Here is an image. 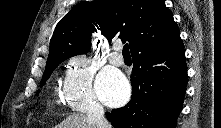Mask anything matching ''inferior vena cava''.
<instances>
[{"label":"inferior vena cava","mask_w":221,"mask_h":128,"mask_svg":"<svg viewBox=\"0 0 221 128\" xmlns=\"http://www.w3.org/2000/svg\"><path fill=\"white\" fill-rule=\"evenodd\" d=\"M87 119L93 122L97 128H111L110 124L104 117V108L98 102L90 103L87 112Z\"/></svg>","instance_id":"602c4592"}]
</instances>
